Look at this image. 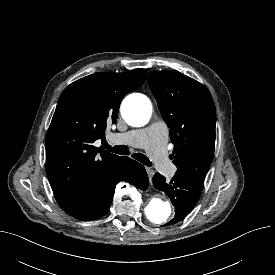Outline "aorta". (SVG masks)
I'll return each instance as SVG.
<instances>
[{
	"instance_id": "aorta-1",
	"label": "aorta",
	"mask_w": 275,
	"mask_h": 275,
	"mask_svg": "<svg viewBox=\"0 0 275 275\" xmlns=\"http://www.w3.org/2000/svg\"><path fill=\"white\" fill-rule=\"evenodd\" d=\"M153 112L151 101L142 94H133L125 98L121 105V114L131 126L145 125ZM145 215L154 224L166 223L172 215V206L169 201L153 198L145 207Z\"/></svg>"
}]
</instances>
